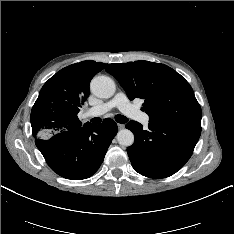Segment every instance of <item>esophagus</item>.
<instances>
[{"instance_id": "obj_1", "label": "esophagus", "mask_w": 234, "mask_h": 234, "mask_svg": "<svg viewBox=\"0 0 234 234\" xmlns=\"http://www.w3.org/2000/svg\"><path fill=\"white\" fill-rule=\"evenodd\" d=\"M117 126H118V129H119V130H122V129L125 128V125H124V124H118Z\"/></svg>"}]
</instances>
